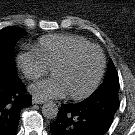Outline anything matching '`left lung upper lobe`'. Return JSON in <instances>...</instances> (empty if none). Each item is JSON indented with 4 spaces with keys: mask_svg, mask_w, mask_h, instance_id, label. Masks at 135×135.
Masks as SVG:
<instances>
[{
    "mask_svg": "<svg viewBox=\"0 0 135 135\" xmlns=\"http://www.w3.org/2000/svg\"><path fill=\"white\" fill-rule=\"evenodd\" d=\"M119 78L113 62L110 60L107 75L101 86L89 97H104L109 93H114L118 96Z\"/></svg>",
    "mask_w": 135,
    "mask_h": 135,
    "instance_id": "left-lung-upper-lobe-1",
    "label": "left lung upper lobe"
}]
</instances>
